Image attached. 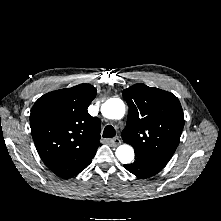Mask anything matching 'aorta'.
Here are the masks:
<instances>
[{
  "instance_id": "762f6f07",
  "label": "aorta",
  "mask_w": 221,
  "mask_h": 221,
  "mask_svg": "<svg viewBox=\"0 0 221 221\" xmlns=\"http://www.w3.org/2000/svg\"><path fill=\"white\" fill-rule=\"evenodd\" d=\"M101 113L108 119H120L125 114V104L119 98L108 99L101 106ZM116 157L123 164H129L134 159V150L128 144L117 147Z\"/></svg>"
}]
</instances>
